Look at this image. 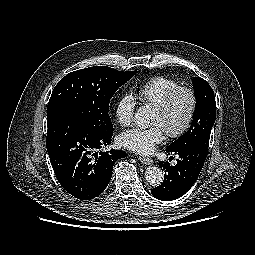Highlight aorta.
Returning a JSON list of instances; mask_svg holds the SVG:
<instances>
[{"label": "aorta", "instance_id": "obj_1", "mask_svg": "<svg viewBox=\"0 0 255 255\" xmlns=\"http://www.w3.org/2000/svg\"><path fill=\"white\" fill-rule=\"evenodd\" d=\"M150 113H151V109L149 107L147 106L140 107L134 115V119L137 126H139L141 129L148 128L150 124V115H151ZM145 178L150 185L156 187L163 182L164 175L162 170L159 167L149 166L145 170Z\"/></svg>", "mask_w": 255, "mask_h": 255}]
</instances>
